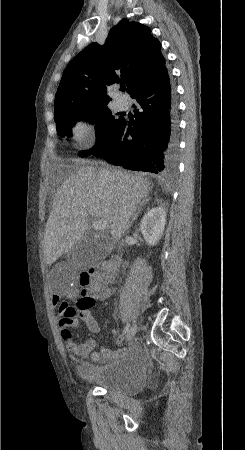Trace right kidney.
Here are the masks:
<instances>
[{
  "label": "right kidney",
  "instance_id": "ca27d5eb",
  "mask_svg": "<svg viewBox=\"0 0 245 450\" xmlns=\"http://www.w3.org/2000/svg\"><path fill=\"white\" fill-rule=\"evenodd\" d=\"M166 224V211L162 207L152 208L143 217L140 230L146 242L154 246L161 238Z\"/></svg>",
  "mask_w": 245,
  "mask_h": 450
}]
</instances>
